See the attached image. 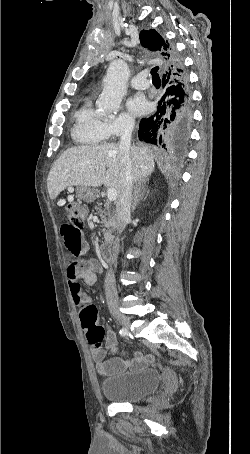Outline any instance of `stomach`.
Listing matches in <instances>:
<instances>
[{
    "label": "stomach",
    "instance_id": "0dacf381",
    "mask_svg": "<svg viewBox=\"0 0 250 454\" xmlns=\"http://www.w3.org/2000/svg\"><path fill=\"white\" fill-rule=\"evenodd\" d=\"M77 197L86 202H93L96 198V192L90 187L80 186L77 189Z\"/></svg>",
    "mask_w": 250,
    "mask_h": 454
}]
</instances>
